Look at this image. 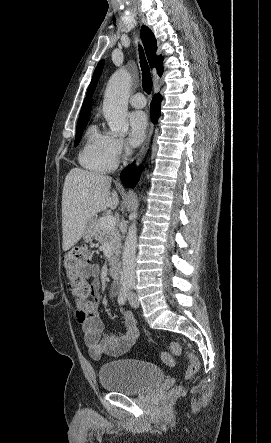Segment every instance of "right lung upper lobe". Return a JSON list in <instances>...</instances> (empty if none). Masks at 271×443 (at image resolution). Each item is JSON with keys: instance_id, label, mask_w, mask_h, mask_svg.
Returning <instances> with one entry per match:
<instances>
[{"instance_id": "cb5924a9", "label": "right lung upper lobe", "mask_w": 271, "mask_h": 443, "mask_svg": "<svg viewBox=\"0 0 271 443\" xmlns=\"http://www.w3.org/2000/svg\"><path fill=\"white\" fill-rule=\"evenodd\" d=\"M140 36H141L150 66L156 67L158 75L161 76L163 73V68L161 67L163 58H162V56H159V57L156 56L157 43H156V39L154 37V34L152 33V31L148 27L143 26L141 28ZM103 64H104V60L100 61L95 69V72L92 77V81H91L89 88L87 90L86 98L84 99V102L82 105L78 120L88 118V116L90 114L91 106H92L91 97H92L93 92L95 90L98 79L101 75V72L103 69Z\"/></svg>"}]
</instances>
